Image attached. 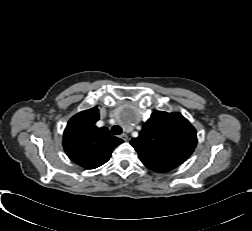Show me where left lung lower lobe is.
I'll return each instance as SVG.
<instances>
[{
  "mask_svg": "<svg viewBox=\"0 0 252 231\" xmlns=\"http://www.w3.org/2000/svg\"><path fill=\"white\" fill-rule=\"evenodd\" d=\"M148 168L155 171V172L165 173V172H168L176 167L170 166V165H156V166H150Z\"/></svg>",
  "mask_w": 252,
  "mask_h": 231,
  "instance_id": "obj_1",
  "label": "left lung lower lobe"
}]
</instances>
